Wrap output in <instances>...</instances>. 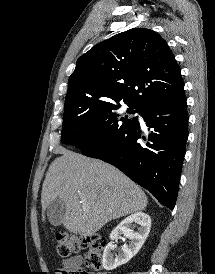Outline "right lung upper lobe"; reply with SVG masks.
<instances>
[{
	"label": "right lung upper lobe",
	"instance_id": "cb5924a9",
	"mask_svg": "<svg viewBox=\"0 0 215 274\" xmlns=\"http://www.w3.org/2000/svg\"><path fill=\"white\" fill-rule=\"evenodd\" d=\"M184 94L180 67L166 41L153 30L134 28L78 59L65 103L123 100L140 109Z\"/></svg>",
	"mask_w": 215,
	"mask_h": 274
}]
</instances>
